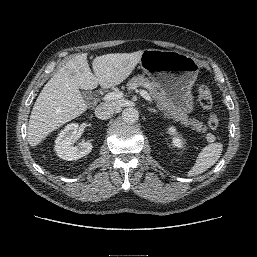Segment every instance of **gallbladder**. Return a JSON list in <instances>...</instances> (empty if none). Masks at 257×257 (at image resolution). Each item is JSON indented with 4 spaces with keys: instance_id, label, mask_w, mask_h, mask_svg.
I'll list each match as a JSON object with an SVG mask.
<instances>
[{
    "instance_id": "obj_1",
    "label": "gallbladder",
    "mask_w": 257,
    "mask_h": 257,
    "mask_svg": "<svg viewBox=\"0 0 257 257\" xmlns=\"http://www.w3.org/2000/svg\"><path fill=\"white\" fill-rule=\"evenodd\" d=\"M83 94H84V97H85V98H89V96H90V93H89V92H84Z\"/></svg>"
}]
</instances>
